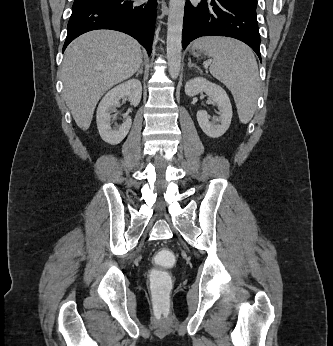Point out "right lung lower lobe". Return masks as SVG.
<instances>
[{
  "instance_id": "right-lung-lower-lobe-1",
  "label": "right lung lower lobe",
  "mask_w": 333,
  "mask_h": 346,
  "mask_svg": "<svg viewBox=\"0 0 333 346\" xmlns=\"http://www.w3.org/2000/svg\"><path fill=\"white\" fill-rule=\"evenodd\" d=\"M156 2L153 0H75L63 51L79 35L111 29L134 37L151 54Z\"/></svg>"
}]
</instances>
